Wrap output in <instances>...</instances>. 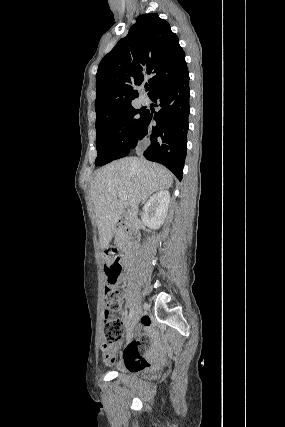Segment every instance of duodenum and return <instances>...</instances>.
<instances>
[{
  "instance_id": "410a0bca",
  "label": "duodenum",
  "mask_w": 285,
  "mask_h": 427,
  "mask_svg": "<svg viewBox=\"0 0 285 427\" xmlns=\"http://www.w3.org/2000/svg\"><path fill=\"white\" fill-rule=\"evenodd\" d=\"M135 224L136 220L132 217L118 219L114 222V228L121 231L122 233V239L124 241L123 257L126 260L131 258L135 251V240L132 234Z\"/></svg>"
}]
</instances>
